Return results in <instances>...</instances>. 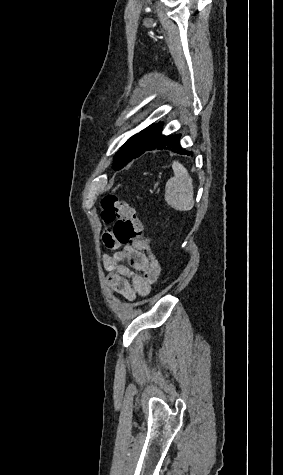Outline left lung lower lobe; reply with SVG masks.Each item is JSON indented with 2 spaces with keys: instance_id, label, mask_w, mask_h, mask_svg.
<instances>
[{
  "instance_id": "0a47b994",
  "label": "left lung lower lobe",
  "mask_w": 283,
  "mask_h": 475,
  "mask_svg": "<svg viewBox=\"0 0 283 475\" xmlns=\"http://www.w3.org/2000/svg\"><path fill=\"white\" fill-rule=\"evenodd\" d=\"M161 122L153 124L142 130L138 135L132 136L116 153L113 168L120 170L132 159L140 157L147 151L159 149L170 150L179 154L193 155V152L183 150L180 145L181 135H162Z\"/></svg>"
}]
</instances>
